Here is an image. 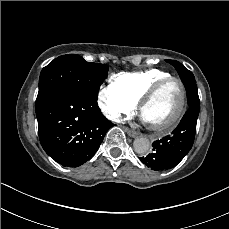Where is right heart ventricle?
Listing matches in <instances>:
<instances>
[{
    "label": "right heart ventricle",
    "mask_w": 229,
    "mask_h": 229,
    "mask_svg": "<svg viewBox=\"0 0 229 229\" xmlns=\"http://www.w3.org/2000/svg\"><path fill=\"white\" fill-rule=\"evenodd\" d=\"M167 71L150 68L140 71L120 72L114 76V82L129 97L138 102L142 95L152 88L159 80L169 77Z\"/></svg>",
    "instance_id": "obj_1"
}]
</instances>
